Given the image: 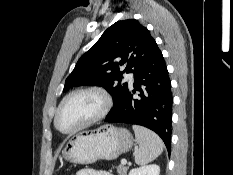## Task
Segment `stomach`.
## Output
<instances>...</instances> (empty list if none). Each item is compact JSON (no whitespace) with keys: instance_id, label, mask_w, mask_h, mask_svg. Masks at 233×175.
I'll use <instances>...</instances> for the list:
<instances>
[{"instance_id":"stomach-1","label":"stomach","mask_w":233,"mask_h":175,"mask_svg":"<svg viewBox=\"0 0 233 175\" xmlns=\"http://www.w3.org/2000/svg\"><path fill=\"white\" fill-rule=\"evenodd\" d=\"M133 136L125 128L103 125L72 137L62 150V157L75 164H92L97 160H114L128 152Z\"/></svg>"}]
</instances>
